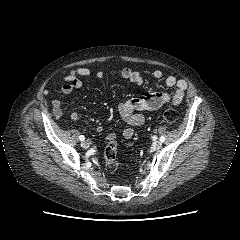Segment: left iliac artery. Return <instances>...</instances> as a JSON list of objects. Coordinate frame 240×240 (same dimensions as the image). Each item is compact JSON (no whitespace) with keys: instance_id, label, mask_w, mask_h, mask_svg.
<instances>
[{"instance_id":"1","label":"left iliac artery","mask_w":240,"mask_h":240,"mask_svg":"<svg viewBox=\"0 0 240 240\" xmlns=\"http://www.w3.org/2000/svg\"><path fill=\"white\" fill-rule=\"evenodd\" d=\"M160 141H161V142H164V141H165V137H164V136H161V137H160Z\"/></svg>"}]
</instances>
